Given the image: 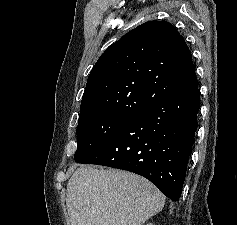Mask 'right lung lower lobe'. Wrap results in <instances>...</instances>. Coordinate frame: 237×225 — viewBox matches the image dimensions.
<instances>
[{
    "label": "right lung lower lobe",
    "instance_id": "1",
    "mask_svg": "<svg viewBox=\"0 0 237 225\" xmlns=\"http://www.w3.org/2000/svg\"><path fill=\"white\" fill-rule=\"evenodd\" d=\"M198 85L145 107L78 163L139 174L177 201L197 129Z\"/></svg>",
    "mask_w": 237,
    "mask_h": 225
}]
</instances>
